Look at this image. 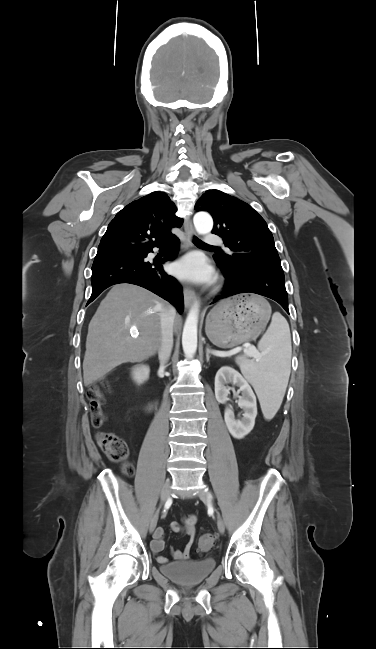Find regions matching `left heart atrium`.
Returning a JSON list of instances; mask_svg holds the SVG:
<instances>
[{
    "instance_id": "left-heart-atrium-1",
    "label": "left heart atrium",
    "mask_w": 376,
    "mask_h": 649,
    "mask_svg": "<svg viewBox=\"0 0 376 649\" xmlns=\"http://www.w3.org/2000/svg\"><path fill=\"white\" fill-rule=\"evenodd\" d=\"M173 272L181 279L201 282L212 278V270L198 256H188L175 264Z\"/></svg>"
}]
</instances>
